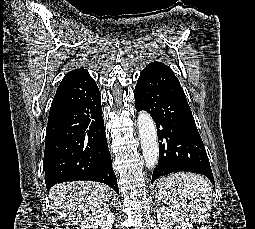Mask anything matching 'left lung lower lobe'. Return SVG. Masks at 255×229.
<instances>
[{
	"mask_svg": "<svg viewBox=\"0 0 255 229\" xmlns=\"http://www.w3.org/2000/svg\"><path fill=\"white\" fill-rule=\"evenodd\" d=\"M134 97L136 110H146L156 122L161 141L152 182L172 172L189 171L215 184L190 106L171 68L157 61L148 64L140 73Z\"/></svg>",
	"mask_w": 255,
	"mask_h": 229,
	"instance_id": "left-lung-lower-lobe-1",
	"label": "left lung lower lobe"
}]
</instances>
